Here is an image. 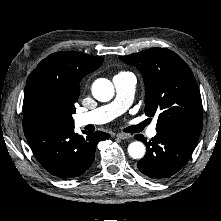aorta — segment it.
Masks as SVG:
<instances>
[{"instance_id": "1", "label": "aorta", "mask_w": 221, "mask_h": 221, "mask_svg": "<svg viewBox=\"0 0 221 221\" xmlns=\"http://www.w3.org/2000/svg\"><path fill=\"white\" fill-rule=\"evenodd\" d=\"M92 94L98 101H110L114 96V86L108 79H97L92 85ZM145 152L146 148L140 141L132 142L128 146V153L134 159H141L145 155Z\"/></svg>"}]
</instances>
